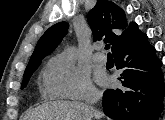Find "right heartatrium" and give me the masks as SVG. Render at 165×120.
Masks as SVG:
<instances>
[{
    "mask_svg": "<svg viewBox=\"0 0 165 120\" xmlns=\"http://www.w3.org/2000/svg\"><path fill=\"white\" fill-rule=\"evenodd\" d=\"M44 86L51 97L90 100L98 90L89 73L61 54L52 58L44 71Z\"/></svg>",
    "mask_w": 165,
    "mask_h": 120,
    "instance_id": "d8ad5b80",
    "label": "right heart atrium"
}]
</instances>
